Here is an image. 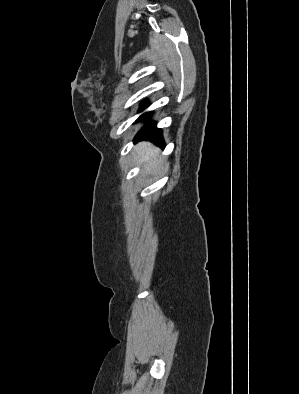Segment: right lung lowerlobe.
Masks as SVG:
<instances>
[{"label": "right lung lower lobe", "instance_id": "98d812e1", "mask_svg": "<svg viewBox=\"0 0 299 394\" xmlns=\"http://www.w3.org/2000/svg\"><path fill=\"white\" fill-rule=\"evenodd\" d=\"M147 106H149V103L144 102L143 105L140 108V111L144 110ZM151 113H144L141 115L138 119V121H143L147 120L150 117ZM136 140H152L155 144L158 146L164 148L165 143L162 139V133L160 129L156 128L155 123H150L146 127H144L135 137Z\"/></svg>", "mask_w": 299, "mask_h": 394}]
</instances>
